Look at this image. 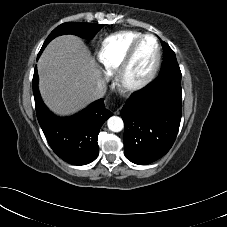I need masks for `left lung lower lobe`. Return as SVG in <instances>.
Here are the masks:
<instances>
[{"label":"left lung lower lobe","instance_id":"left-lung-lower-lobe-1","mask_svg":"<svg viewBox=\"0 0 227 227\" xmlns=\"http://www.w3.org/2000/svg\"><path fill=\"white\" fill-rule=\"evenodd\" d=\"M181 83L155 79L134 92L121 110L124 154L138 165L150 164L172 147L181 120Z\"/></svg>","mask_w":227,"mask_h":227}]
</instances>
